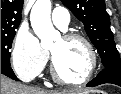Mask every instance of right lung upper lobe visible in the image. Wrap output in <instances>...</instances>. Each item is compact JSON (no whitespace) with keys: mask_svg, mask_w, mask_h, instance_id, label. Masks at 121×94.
I'll use <instances>...</instances> for the list:
<instances>
[{"mask_svg":"<svg viewBox=\"0 0 121 94\" xmlns=\"http://www.w3.org/2000/svg\"><path fill=\"white\" fill-rule=\"evenodd\" d=\"M24 0H1V33L18 28Z\"/></svg>","mask_w":121,"mask_h":94,"instance_id":"1","label":"right lung upper lobe"}]
</instances>
